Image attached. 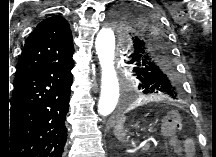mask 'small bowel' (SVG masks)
I'll use <instances>...</instances> for the list:
<instances>
[{
	"instance_id": "c3829d8e",
	"label": "small bowel",
	"mask_w": 216,
	"mask_h": 157,
	"mask_svg": "<svg viewBox=\"0 0 216 157\" xmlns=\"http://www.w3.org/2000/svg\"><path fill=\"white\" fill-rule=\"evenodd\" d=\"M183 148H184V152H185V156L187 157H191L193 154H194V144H193V141L185 136L183 138Z\"/></svg>"
}]
</instances>
